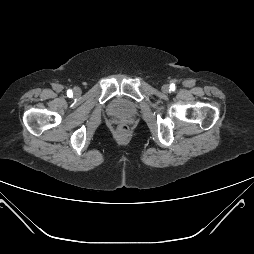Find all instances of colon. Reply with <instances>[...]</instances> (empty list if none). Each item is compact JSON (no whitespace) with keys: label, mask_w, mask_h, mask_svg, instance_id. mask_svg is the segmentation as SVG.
Returning <instances> with one entry per match:
<instances>
[{"label":"colon","mask_w":254,"mask_h":254,"mask_svg":"<svg viewBox=\"0 0 254 254\" xmlns=\"http://www.w3.org/2000/svg\"><path fill=\"white\" fill-rule=\"evenodd\" d=\"M119 129H120V131H122V132H126V131H127V126H126V125H121V126L119 127Z\"/></svg>","instance_id":"colon-1"}]
</instances>
